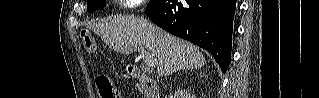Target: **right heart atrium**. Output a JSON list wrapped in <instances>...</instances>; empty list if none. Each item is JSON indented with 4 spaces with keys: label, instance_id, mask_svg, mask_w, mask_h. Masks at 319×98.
<instances>
[{
    "label": "right heart atrium",
    "instance_id": "1",
    "mask_svg": "<svg viewBox=\"0 0 319 98\" xmlns=\"http://www.w3.org/2000/svg\"><path fill=\"white\" fill-rule=\"evenodd\" d=\"M129 7L137 6L143 3V1H138V0H127L124 1Z\"/></svg>",
    "mask_w": 319,
    "mask_h": 98
}]
</instances>
